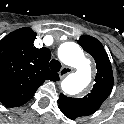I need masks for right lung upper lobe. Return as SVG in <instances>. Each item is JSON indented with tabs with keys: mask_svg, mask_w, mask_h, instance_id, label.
I'll list each match as a JSON object with an SVG mask.
<instances>
[{
	"mask_svg": "<svg viewBox=\"0 0 124 124\" xmlns=\"http://www.w3.org/2000/svg\"><path fill=\"white\" fill-rule=\"evenodd\" d=\"M35 38L31 28L23 27L0 41V102L6 107L29 101L45 80H59L48 67L51 52L35 48Z\"/></svg>",
	"mask_w": 124,
	"mask_h": 124,
	"instance_id": "obj_1",
	"label": "right lung upper lobe"
}]
</instances>
